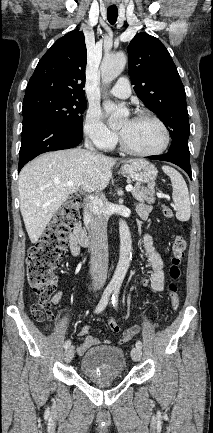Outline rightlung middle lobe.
Listing matches in <instances>:
<instances>
[{
  "instance_id": "1",
  "label": "right lung middle lobe",
  "mask_w": 213,
  "mask_h": 433,
  "mask_svg": "<svg viewBox=\"0 0 213 433\" xmlns=\"http://www.w3.org/2000/svg\"><path fill=\"white\" fill-rule=\"evenodd\" d=\"M86 99L57 94H36L24 97L22 114H38L49 118L77 134H82Z\"/></svg>"
}]
</instances>
